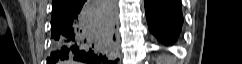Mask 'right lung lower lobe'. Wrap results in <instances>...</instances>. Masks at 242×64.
Returning <instances> with one entry per match:
<instances>
[{"mask_svg":"<svg viewBox=\"0 0 242 64\" xmlns=\"http://www.w3.org/2000/svg\"><path fill=\"white\" fill-rule=\"evenodd\" d=\"M116 0H75L67 11L52 14V51L47 64L75 60L116 64Z\"/></svg>","mask_w":242,"mask_h":64,"instance_id":"1","label":"right lung lower lobe"}]
</instances>
